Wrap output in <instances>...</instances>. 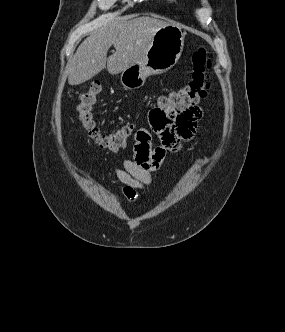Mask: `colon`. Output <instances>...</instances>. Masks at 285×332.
<instances>
[{"instance_id":"5ec220e1","label":"colon","mask_w":285,"mask_h":332,"mask_svg":"<svg viewBox=\"0 0 285 332\" xmlns=\"http://www.w3.org/2000/svg\"><path fill=\"white\" fill-rule=\"evenodd\" d=\"M192 80L191 82L177 90L161 96L154 106L177 107L181 113L205 98L210 87L209 70L211 61L203 47L197 49L192 55ZM102 90L99 81L92 82L87 89L80 93L76 105L77 117L87 132L101 148L109 151H118L127 145L133 132L132 125L123 126L109 133L100 131L94 109L98 101V95Z\"/></svg>"}]
</instances>
